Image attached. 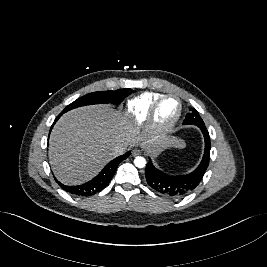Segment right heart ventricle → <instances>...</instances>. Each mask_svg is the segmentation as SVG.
Listing matches in <instances>:
<instances>
[{
	"instance_id": "obj_1",
	"label": "right heart ventricle",
	"mask_w": 267,
	"mask_h": 267,
	"mask_svg": "<svg viewBox=\"0 0 267 267\" xmlns=\"http://www.w3.org/2000/svg\"><path fill=\"white\" fill-rule=\"evenodd\" d=\"M161 95L160 92H145L130 99L126 105L128 116L138 125L145 123L152 104Z\"/></svg>"
}]
</instances>
